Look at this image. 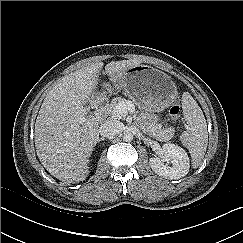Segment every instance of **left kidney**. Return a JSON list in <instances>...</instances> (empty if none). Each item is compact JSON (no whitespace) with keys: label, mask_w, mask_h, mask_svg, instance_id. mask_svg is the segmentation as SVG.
Wrapping results in <instances>:
<instances>
[{"label":"left kidney","mask_w":243,"mask_h":243,"mask_svg":"<svg viewBox=\"0 0 243 243\" xmlns=\"http://www.w3.org/2000/svg\"><path fill=\"white\" fill-rule=\"evenodd\" d=\"M150 167L159 176L179 179L189 172V157L186 151L175 144H164L159 157L149 160Z\"/></svg>","instance_id":"left-kidney-1"}]
</instances>
